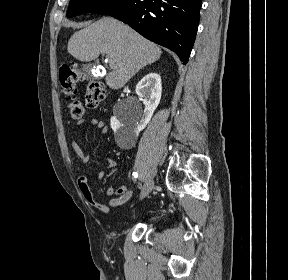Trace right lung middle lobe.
<instances>
[{"label":"right lung middle lobe","instance_id":"dd1d6c3e","mask_svg":"<svg viewBox=\"0 0 288 280\" xmlns=\"http://www.w3.org/2000/svg\"><path fill=\"white\" fill-rule=\"evenodd\" d=\"M125 0H70L67 17L82 13L104 14L107 10L123 3Z\"/></svg>","mask_w":288,"mask_h":280}]
</instances>
